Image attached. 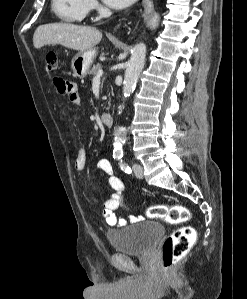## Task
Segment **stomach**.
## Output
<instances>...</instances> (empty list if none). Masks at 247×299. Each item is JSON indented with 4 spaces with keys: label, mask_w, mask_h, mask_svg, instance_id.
I'll return each mask as SVG.
<instances>
[{
    "label": "stomach",
    "mask_w": 247,
    "mask_h": 299,
    "mask_svg": "<svg viewBox=\"0 0 247 299\" xmlns=\"http://www.w3.org/2000/svg\"><path fill=\"white\" fill-rule=\"evenodd\" d=\"M96 55L97 50L95 48L77 53L71 62V69L74 76L79 79L86 77Z\"/></svg>",
    "instance_id": "stomach-1"
}]
</instances>
